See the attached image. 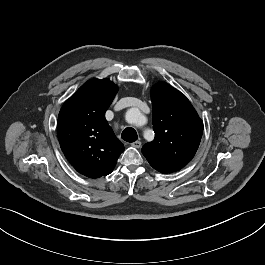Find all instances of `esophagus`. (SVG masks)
I'll use <instances>...</instances> for the list:
<instances>
[{"label":"esophagus","instance_id":"1","mask_svg":"<svg viewBox=\"0 0 265 265\" xmlns=\"http://www.w3.org/2000/svg\"><path fill=\"white\" fill-rule=\"evenodd\" d=\"M132 147H135V148H140L141 147V142L140 141H135L131 144Z\"/></svg>","mask_w":265,"mask_h":265}]
</instances>
